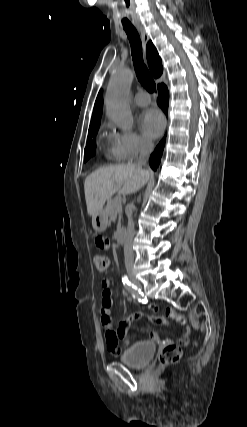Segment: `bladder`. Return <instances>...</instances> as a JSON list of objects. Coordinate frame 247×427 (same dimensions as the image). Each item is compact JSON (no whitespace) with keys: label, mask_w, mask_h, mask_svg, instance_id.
<instances>
[{"label":"bladder","mask_w":247,"mask_h":427,"mask_svg":"<svg viewBox=\"0 0 247 427\" xmlns=\"http://www.w3.org/2000/svg\"><path fill=\"white\" fill-rule=\"evenodd\" d=\"M155 351L156 345L153 342L140 341L123 351L119 360L128 367L140 368L150 362Z\"/></svg>","instance_id":"obj_1"}]
</instances>
